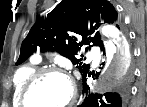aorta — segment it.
Listing matches in <instances>:
<instances>
[{"mask_svg":"<svg viewBox=\"0 0 147 107\" xmlns=\"http://www.w3.org/2000/svg\"><path fill=\"white\" fill-rule=\"evenodd\" d=\"M109 38L104 42L107 67L100 79L93 86V91L104 93L117 88L118 84L130 74L132 55L125 38L113 27H105Z\"/></svg>","mask_w":147,"mask_h":107,"instance_id":"obj_1","label":"aorta"}]
</instances>
